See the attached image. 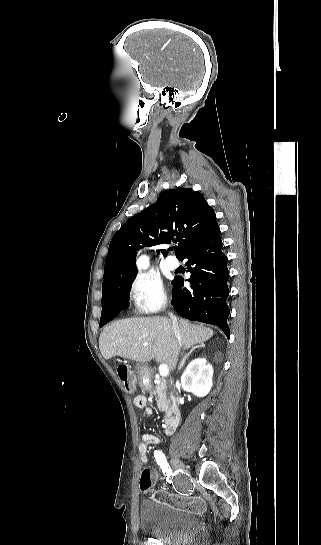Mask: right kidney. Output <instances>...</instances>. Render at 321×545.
I'll list each match as a JSON object with an SVG mask.
<instances>
[{
    "label": "right kidney",
    "instance_id": "ca27d5eb",
    "mask_svg": "<svg viewBox=\"0 0 321 545\" xmlns=\"http://www.w3.org/2000/svg\"><path fill=\"white\" fill-rule=\"evenodd\" d=\"M213 367L206 359H194L189 363L181 377V385L187 393L196 397H206L212 385Z\"/></svg>",
    "mask_w": 321,
    "mask_h": 545
}]
</instances>
